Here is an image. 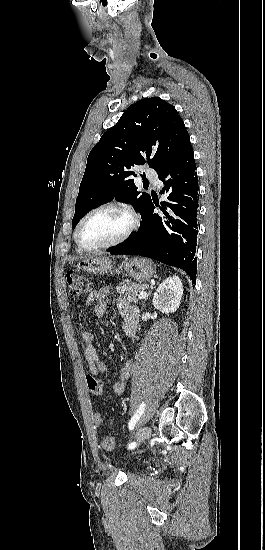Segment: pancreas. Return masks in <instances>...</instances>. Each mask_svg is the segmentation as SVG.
I'll use <instances>...</instances> for the list:
<instances>
[{"label": "pancreas", "mask_w": 265, "mask_h": 550, "mask_svg": "<svg viewBox=\"0 0 265 550\" xmlns=\"http://www.w3.org/2000/svg\"><path fill=\"white\" fill-rule=\"evenodd\" d=\"M147 289L146 284H137L125 281L117 287L120 297H125L129 302H137L138 295Z\"/></svg>", "instance_id": "cf45deb5"}]
</instances>
